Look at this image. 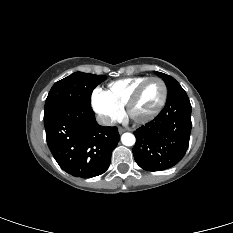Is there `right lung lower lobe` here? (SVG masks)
<instances>
[{"label":"right lung lower lobe","mask_w":233,"mask_h":233,"mask_svg":"<svg viewBox=\"0 0 233 233\" xmlns=\"http://www.w3.org/2000/svg\"><path fill=\"white\" fill-rule=\"evenodd\" d=\"M88 104L71 105L44 117L48 147L59 166L81 178L103 174L120 140L116 127L100 126Z\"/></svg>","instance_id":"98d812e1"}]
</instances>
